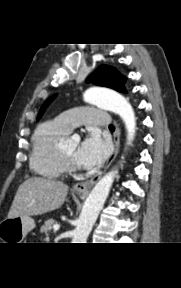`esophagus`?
<instances>
[{
	"instance_id": "obj_1",
	"label": "esophagus",
	"mask_w": 181,
	"mask_h": 288,
	"mask_svg": "<svg viewBox=\"0 0 181 288\" xmlns=\"http://www.w3.org/2000/svg\"><path fill=\"white\" fill-rule=\"evenodd\" d=\"M119 146H120V128L116 124L115 125V132H114V151H113V153L110 155V157L108 158L103 170L99 174H97L96 176L91 178L89 181L76 183L73 186V191L76 194H78L81 197L88 196L93 185L98 181V179L101 177V175L109 168V166L111 165V163L113 162V160L117 156L118 151H119Z\"/></svg>"
}]
</instances>
